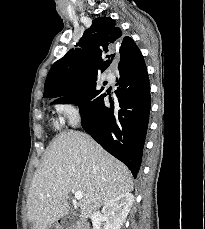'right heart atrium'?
Returning <instances> with one entry per match:
<instances>
[{"instance_id": "right-heart-atrium-1", "label": "right heart atrium", "mask_w": 205, "mask_h": 229, "mask_svg": "<svg viewBox=\"0 0 205 229\" xmlns=\"http://www.w3.org/2000/svg\"><path fill=\"white\" fill-rule=\"evenodd\" d=\"M56 111L60 121L69 126H77L83 115L82 104L74 97H63L55 103Z\"/></svg>"}]
</instances>
